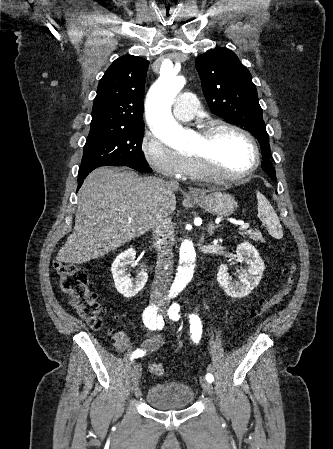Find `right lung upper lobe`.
I'll use <instances>...</instances> for the list:
<instances>
[{
	"label": "right lung upper lobe",
	"mask_w": 333,
	"mask_h": 449,
	"mask_svg": "<svg viewBox=\"0 0 333 449\" xmlns=\"http://www.w3.org/2000/svg\"><path fill=\"white\" fill-rule=\"evenodd\" d=\"M149 61L124 55L115 60L99 82L91 128L143 125V94Z\"/></svg>",
	"instance_id": "cb5924a9"
}]
</instances>
